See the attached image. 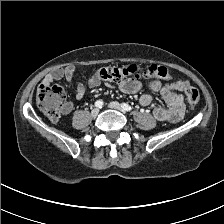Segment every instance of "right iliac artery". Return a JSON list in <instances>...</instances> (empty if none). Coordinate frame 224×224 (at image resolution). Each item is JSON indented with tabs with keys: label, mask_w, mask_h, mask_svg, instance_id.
I'll use <instances>...</instances> for the list:
<instances>
[{
	"label": "right iliac artery",
	"mask_w": 224,
	"mask_h": 224,
	"mask_svg": "<svg viewBox=\"0 0 224 224\" xmlns=\"http://www.w3.org/2000/svg\"><path fill=\"white\" fill-rule=\"evenodd\" d=\"M103 104L104 103H103L102 100H98V101L95 102V106L98 107V108H102Z\"/></svg>",
	"instance_id": "1"
}]
</instances>
